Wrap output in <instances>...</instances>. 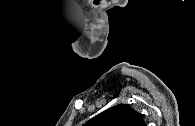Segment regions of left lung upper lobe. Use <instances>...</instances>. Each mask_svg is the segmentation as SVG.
<instances>
[{
    "label": "left lung upper lobe",
    "mask_w": 195,
    "mask_h": 126,
    "mask_svg": "<svg viewBox=\"0 0 195 126\" xmlns=\"http://www.w3.org/2000/svg\"><path fill=\"white\" fill-rule=\"evenodd\" d=\"M85 126H146L142 115L128 104L113 106L89 120Z\"/></svg>",
    "instance_id": "1"
}]
</instances>
